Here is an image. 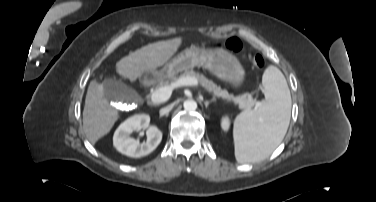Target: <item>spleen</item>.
Instances as JSON below:
<instances>
[{
    "instance_id": "spleen-1",
    "label": "spleen",
    "mask_w": 376,
    "mask_h": 202,
    "mask_svg": "<svg viewBox=\"0 0 376 202\" xmlns=\"http://www.w3.org/2000/svg\"><path fill=\"white\" fill-rule=\"evenodd\" d=\"M265 100L258 110L234 120L235 157L240 163L268 157L282 142L290 122L291 95L283 73L268 66L262 76Z\"/></svg>"
}]
</instances>
